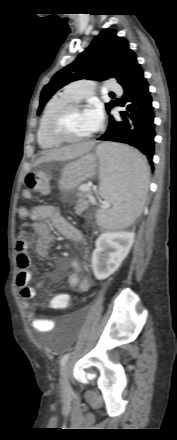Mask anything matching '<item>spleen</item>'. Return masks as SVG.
<instances>
[{"label":"spleen","mask_w":177,"mask_h":440,"mask_svg":"<svg viewBox=\"0 0 177 440\" xmlns=\"http://www.w3.org/2000/svg\"><path fill=\"white\" fill-rule=\"evenodd\" d=\"M96 152L100 159L99 193L113 205L109 211H97V223L109 229L128 227L145 204L150 175L147 161L126 145L102 143Z\"/></svg>","instance_id":"1"}]
</instances>
